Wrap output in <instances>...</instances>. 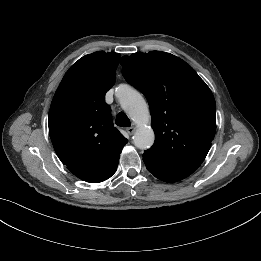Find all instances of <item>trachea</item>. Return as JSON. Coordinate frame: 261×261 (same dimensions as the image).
<instances>
[{"label":"trachea","mask_w":261,"mask_h":261,"mask_svg":"<svg viewBox=\"0 0 261 261\" xmlns=\"http://www.w3.org/2000/svg\"><path fill=\"white\" fill-rule=\"evenodd\" d=\"M116 125L120 127H129L131 123L127 115L123 112H120L116 117Z\"/></svg>","instance_id":"trachea-1"}]
</instances>
